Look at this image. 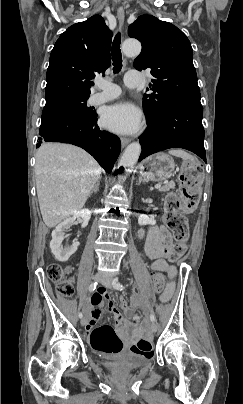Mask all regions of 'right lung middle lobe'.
Segmentation results:
<instances>
[{
  "label": "right lung middle lobe",
  "instance_id": "1",
  "mask_svg": "<svg viewBox=\"0 0 243 404\" xmlns=\"http://www.w3.org/2000/svg\"><path fill=\"white\" fill-rule=\"evenodd\" d=\"M87 97H73L46 103L42 112V123L65 113H80L88 117H95L96 111L88 108Z\"/></svg>",
  "mask_w": 243,
  "mask_h": 404
}]
</instances>
